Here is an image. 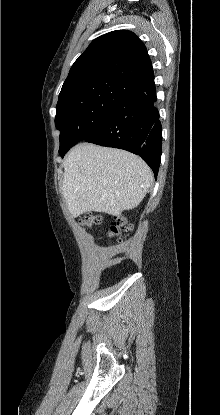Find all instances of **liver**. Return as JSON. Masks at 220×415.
I'll use <instances>...</instances> for the list:
<instances>
[{
    "instance_id": "6515ba94",
    "label": "liver",
    "mask_w": 220,
    "mask_h": 415,
    "mask_svg": "<svg viewBox=\"0 0 220 415\" xmlns=\"http://www.w3.org/2000/svg\"><path fill=\"white\" fill-rule=\"evenodd\" d=\"M153 180L148 165L124 150L79 144L64 161L62 193L69 212L119 216L137 207Z\"/></svg>"
}]
</instances>
